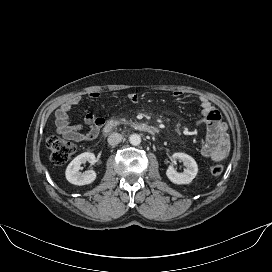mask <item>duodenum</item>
<instances>
[{"label":"duodenum","mask_w":272,"mask_h":272,"mask_svg":"<svg viewBox=\"0 0 272 272\" xmlns=\"http://www.w3.org/2000/svg\"><path fill=\"white\" fill-rule=\"evenodd\" d=\"M122 125H126V126H129L133 129H136L138 131H142V132H146V133H149V134H155L156 133V128L147 124V123H144V122H121L119 120H114V119H111L109 121L106 122V124L104 125L103 127V132L105 134H108L110 132H112L113 130H115L116 128H118L119 126H122Z\"/></svg>","instance_id":"410a0bca"}]
</instances>
